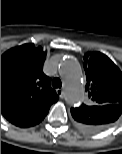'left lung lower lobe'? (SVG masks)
<instances>
[{
    "mask_svg": "<svg viewBox=\"0 0 122 154\" xmlns=\"http://www.w3.org/2000/svg\"><path fill=\"white\" fill-rule=\"evenodd\" d=\"M122 113V105H83L79 109L76 124L85 131L97 132L115 122Z\"/></svg>",
    "mask_w": 122,
    "mask_h": 154,
    "instance_id": "obj_1",
    "label": "left lung lower lobe"
}]
</instances>
